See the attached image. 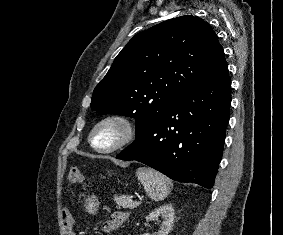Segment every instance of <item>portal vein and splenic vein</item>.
Returning a JSON list of instances; mask_svg holds the SVG:
<instances>
[{
	"mask_svg": "<svg viewBox=\"0 0 283 235\" xmlns=\"http://www.w3.org/2000/svg\"><path fill=\"white\" fill-rule=\"evenodd\" d=\"M138 205L140 204V202L138 201V202H136Z\"/></svg>",
	"mask_w": 283,
	"mask_h": 235,
	"instance_id": "obj_1",
	"label": "portal vein and splenic vein"
}]
</instances>
